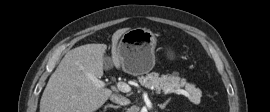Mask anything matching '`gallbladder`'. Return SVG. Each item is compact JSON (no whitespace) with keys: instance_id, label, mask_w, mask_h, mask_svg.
<instances>
[{"instance_id":"bac80fb5","label":"gallbladder","mask_w":270,"mask_h":112,"mask_svg":"<svg viewBox=\"0 0 270 112\" xmlns=\"http://www.w3.org/2000/svg\"><path fill=\"white\" fill-rule=\"evenodd\" d=\"M103 61L106 69H109L112 66V60L109 57L104 56Z\"/></svg>"}]
</instances>
